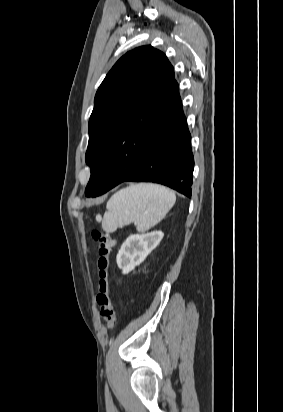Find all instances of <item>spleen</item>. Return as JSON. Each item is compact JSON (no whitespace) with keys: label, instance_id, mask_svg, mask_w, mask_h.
Here are the masks:
<instances>
[{"label":"spleen","instance_id":"3e777b00","mask_svg":"<svg viewBox=\"0 0 283 412\" xmlns=\"http://www.w3.org/2000/svg\"><path fill=\"white\" fill-rule=\"evenodd\" d=\"M175 201V193L164 186L131 184L117 191L107 202L102 228L112 233L118 227L134 223L138 232H145L165 218Z\"/></svg>","mask_w":283,"mask_h":412}]
</instances>
